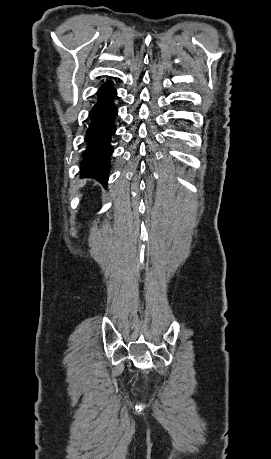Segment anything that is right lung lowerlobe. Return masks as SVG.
Wrapping results in <instances>:
<instances>
[{
	"mask_svg": "<svg viewBox=\"0 0 271 459\" xmlns=\"http://www.w3.org/2000/svg\"><path fill=\"white\" fill-rule=\"evenodd\" d=\"M97 95L98 101L90 111L80 174L105 185L111 167L110 156L113 154L111 138L116 131L114 118L118 113L113 102L116 90L112 82L103 84Z\"/></svg>",
	"mask_w": 271,
	"mask_h": 459,
	"instance_id": "98d812e1",
	"label": "right lung lower lobe"
}]
</instances>
